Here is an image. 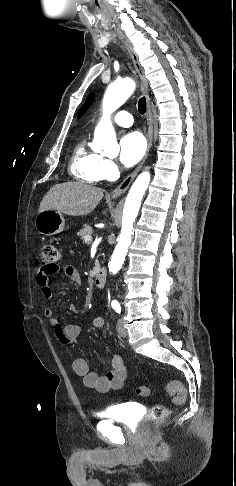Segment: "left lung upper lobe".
I'll use <instances>...</instances> for the list:
<instances>
[{"mask_svg": "<svg viewBox=\"0 0 236 486\" xmlns=\"http://www.w3.org/2000/svg\"><path fill=\"white\" fill-rule=\"evenodd\" d=\"M93 98H94L93 94H90L87 97V99H86V101H85L82 109L80 110V113H79V116L78 117H81L83 115V113L88 109V107L91 105V103L93 101Z\"/></svg>", "mask_w": 236, "mask_h": 486, "instance_id": "left-lung-upper-lobe-1", "label": "left lung upper lobe"}]
</instances>
